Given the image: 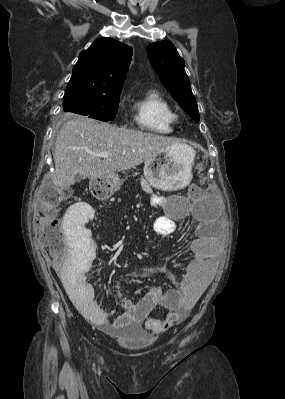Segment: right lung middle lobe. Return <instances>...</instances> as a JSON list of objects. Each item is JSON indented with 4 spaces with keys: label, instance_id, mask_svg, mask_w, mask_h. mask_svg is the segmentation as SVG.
<instances>
[{
    "label": "right lung middle lobe",
    "instance_id": "obj_1",
    "mask_svg": "<svg viewBox=\"0 0 285 399\" xmlns=\"http://www.w3.org/2000/svg\"><path fill=\"white\" fill-rule=\"evenodd\" d=\"M121 92L103 95L96 93L67 94L63 98L66 112L88 115L104 122L113 121L118 108Z\"/></svg>",
    "mask_w": 285,
    "mask_h": 399
}]
</instances>
